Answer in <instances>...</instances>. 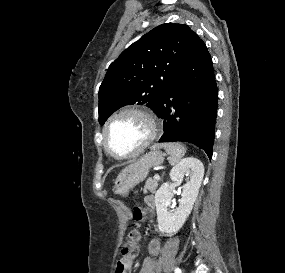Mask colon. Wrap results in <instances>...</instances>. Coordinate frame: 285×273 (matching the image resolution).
<instances>
[{"mask_svg": "<svg viewBox=\"0 0 285 273\" xmlns=\"http://www.w3.org/2000/svg\"><path fill=\"white\" fill-rule=\"evenodd\" d=\"M134 201L138 200L137 196L133 197ZM145 206L143 203L139 204V207L132 208L131 218L133 222L140 225L143 217V210ZM141 234L139 231H133L129 234L127 242L124 244L121 250V257L117 260L114 273H130L134 259L139 253V242Z\"/></svg>", "mask_w": 285, "mask_h": 273, "instance_id": "obj_1", "label": "colon"}]
</instances>
